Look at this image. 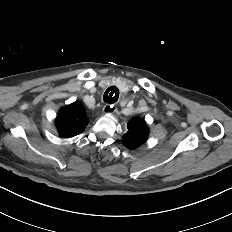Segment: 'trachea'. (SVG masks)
I'll return each instance as SVG.
<instances>
[{
  "mask_svg": "<svg viewBox=\"0 0 232 232\" xmlns=\"http://www.w3.org/2000/svg\"><path fill=\"white\" fill-rule=\"evenodd\" d=\"M118 98H119V90L115 86L109 87L105 91L104 96H103V100L109 104H113L117 102Z\"/></svg>",
  "mask_w": 232,
  "mask_h": 232,
  "instance_id": "obj_1",
  "label": "trachea"
}]
</instances>
